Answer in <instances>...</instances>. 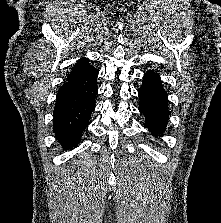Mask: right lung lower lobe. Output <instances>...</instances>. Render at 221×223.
Returning <instances> with one entry per match:
<instances>
[{"label": "right lung lower lobe", "mask_w": 221, "mask_h": 223, "mask_svg": "<svg viewBox=\"0 0 221 223\" xmlns=\"http://www.w3.org/2000/svg\"><path fill=\"white\" fill-rule=\"evenodd\" d=\"M98 71L91 66L67 79L58 91L54 107L53 132L62 147L71 149L81 139L95 109Z\"/></svg>", "instance_id": "98d812e1"}]
</instances>
